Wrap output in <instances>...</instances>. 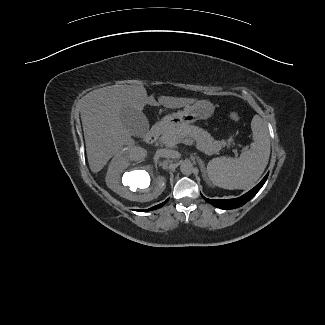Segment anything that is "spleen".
I'll return each instance as SVG.
<instances>
[{
    "instance_id": "1",
    "label": "spleen",
    "mask_w": 325,
    "mask_h": 325,
    "mask_svg": "<svg viewBox=\"0 0 325 325\" xmlns=\"http://www.w3.org/2000/svg\"><path fill=\"white\" fill-rule=\"evenodd\" d=\"M253 132L251 149L239 158L220 157L207 165V174L212 184L224 189H248L263 174L270 156V136L267 125L259 115L251 121Z\"/></svg>"
}]
</instances>
